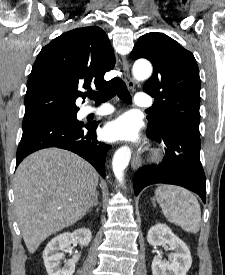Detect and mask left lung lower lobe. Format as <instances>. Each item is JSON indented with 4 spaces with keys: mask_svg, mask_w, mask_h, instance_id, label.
I'll return each instance as SVG.
<instances>
[{
    "mask_svg": "<svg viewBox=\"0 0 225 275\" xmlns=\"http://www.w3.org/2000/svg\"><path fill=\"white\" fill-rule=\"evenodd\" d=\"M147 136L164 143L166 155L159 165H146L136 173L133 180L135 195L150 184L166 183L194 191L205 203V174L199 156L200 133L168 126L160 132L147 129Z\"/></svg>",
    "mask_w": 225,
    "mask_h": 275,
    "instance_id": "left-lung-lower-lobe-1",
    "label": "left lung lower lobe"
}]
</instances>
